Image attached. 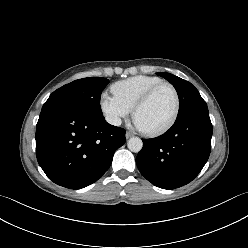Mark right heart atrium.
Listing matches in <instances>:
<instances>
[{
    "label": "right heart atrium",
    "mask_w": 248,
    "mask_h": 248,
    "mask_svg": "<svg viewBox=\"0 0 248 248\" xmlns=\"http://www.w3.org/2000/svg\"><path fill=\"white\" fill-rule=\"evenodd\" d=\"M100 106L108 122L113 125H119L131 112V109L125 103L107 92L102 93Z\"/></svg>",
    "instance_id": "1"
}]
</instances>
